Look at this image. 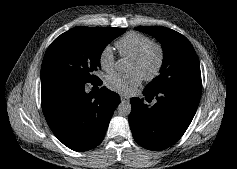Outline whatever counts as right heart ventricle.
Returning <instances> with one entry per match:
<instances>
[{"label":"right heart ventricle","instance_id":"e07e8e85","mask_svg":"<svg viewBox=\"0 0 237 169\" xmlns=\"http://www.w3.org/2000/svg\"><path fill=\"white\" fill-rule=\"evenodd\" d=\"M153 40L139 32H129L116 41V46L122 55L134 56L142 51Z\"/></svg>","mask_w":237,"mask_h":169}]
</instances>
